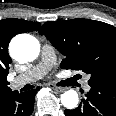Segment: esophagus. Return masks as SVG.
I'll list each match as a JSON object with an SVG mask.
<instances>
[{
    "instance_id": "esophagus-1",
    "label": "esophagus",
    "mask_w": 116,
    "mask_h": 116,
    "mask_svg": "<svg viewBox=\"0 0 116 116\" xmlns=\"http://www.w3.org/2000/svg\"><path fill=\"white\" fill-rule=\"evenodd\" d=\"M51 87H52V89L54 90V91H56V92H63L65 89L64 88H62V87H57L55 84H49Z\"/></svg>"
}]
</instances>
